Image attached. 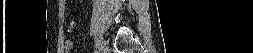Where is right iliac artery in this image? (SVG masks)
Listing matches in <instances>:
<instances>
[{
  "label": "right iliac artery",
  "mask_w": 253,
  "mask_h": 53,
  "mask_svg": "<svg viewBox=\"0 0 253 53\" xmlns=\"http://www.w3.org/2000/svg\"><path fill=\"white\" fill-rule=\"evenodd\" d=\"M99 49L98 40L95 39V51L94 53H97Z\"/></svg>",
  "instance_id": "82829eb1"
}]
</instances>
